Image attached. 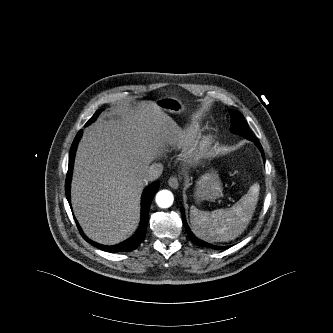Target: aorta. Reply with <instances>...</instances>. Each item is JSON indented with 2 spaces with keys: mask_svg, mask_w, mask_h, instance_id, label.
I'll return each instance as SVG.
<instances>
[{
  "mask_svg": "<svg viewBox=\"0 0 333 333\" xmlns=\"http://www.w3.org/2000/svg\"><path fill=\"white\" fill-rule=\"evenodd\" d=\"M174 196L168 190H161L156 195V203L160 208H168L173 204Z\"/></svg>",
  "mask_w": 333,
  "mask_h": 333,
  "instance_id": "1",
  "label": "aorta"
}]
</instances>
